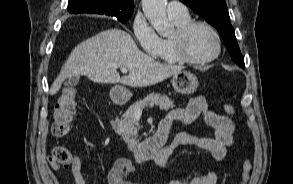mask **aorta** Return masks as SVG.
Segmentation results:
<instances>
[{
    "label": "aorta",
    "mask_w": 293,
    "mask_h": 184,
    "mask_svg": "<svg viewBox=\"0 0 293 184\" xmlns=\"http://www.w3.org/2000/svg\"><path fill=\"white\" fill-rule=\"evenodd\" d=\"M143 12L160 35L171 31L172 25L166 16V0H142Z\"/></svg>",
    "instance_id": "762f6f07"
}]
</instances>
